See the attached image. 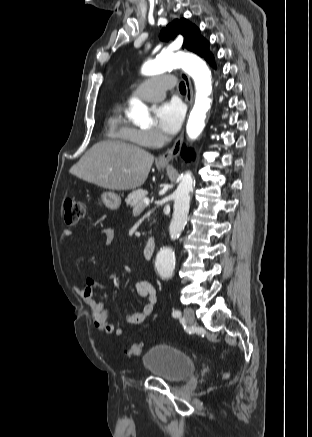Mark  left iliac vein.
<instances>
[{"label":"left iliac vein","mask_w":312,"mask_h":437,"mask_svg":"<svg viewBox=\"0 0 312 437\" xmlns=\"http://www.w3.org/2000/svg\"><path fill=\"white\" fill-rule=\"evenodd\" d=\"M184 318L189 325H194L195 324L194 310L190 307H186L184 309Z\"/></svg>","instance_id":"1"}]
</instances>
